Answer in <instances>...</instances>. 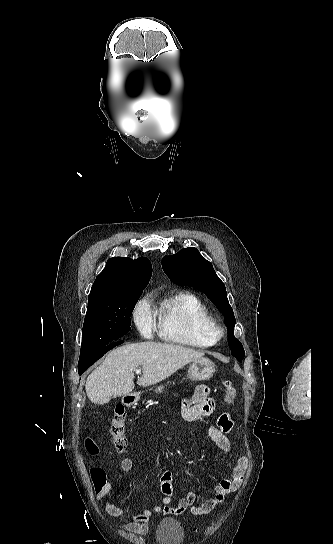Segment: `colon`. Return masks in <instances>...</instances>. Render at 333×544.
I'll list each match as a JSON object with an SVG mask.
<instances>
[{
    "label": "colon",
    "instance_id": "colon-1",
    "mask_svg": "<svg viewBox=\"0 0 333 544\" xmlns=\"http://www.w3.org/2000/svg\"><path fill=\"white\" fill-rule=\"evenodd\" d=\"M225 387V402L231 403L236 396V389L230 381H224ZM110 433L116 450L119 453H124L127 449L126 438V415L123 407H117L111 419ZM86 447L89 453L96 454L97 447L93 442L87 441ZM90 476L94 484L95 490L101 489L106 483V473L100 467H94L90 470Z\"/></svg>",
    "mask_w": 333,
    "mask_h": 544
}]
</instances>
